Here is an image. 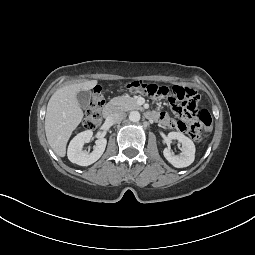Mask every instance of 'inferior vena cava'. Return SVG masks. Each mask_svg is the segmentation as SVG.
Instances as JSON below:
<instances>
[{"instance_id":"inferior-vena-cava-1","label":"inferior vena cava","mask_w":255,"mask_h":255,"mask_svg":"<svg viewBox=\"0 0 255 255\" xmlns=\"http://www.w3.org/2000/svg\"><path fill=\"white\" fill-rule=\"evenodd\" d=\"M126 118V113L123 111H114L113 113H111L108 117L107 120L111 123H117L122 121L123 119Z\"/></svg>"}]
</instances>
